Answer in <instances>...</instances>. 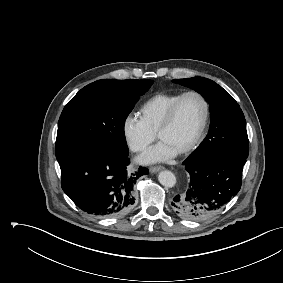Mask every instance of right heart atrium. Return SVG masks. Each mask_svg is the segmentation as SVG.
<instances>
[{
    "label": "right heart atrium",
    "instance_id": "1",
    "mask_svg": "<svg viewBox=\"0 0 283 283\" xmlns=\"http://www.w3.org/2000/svg\"><path fill=\"white\" fill-rule=\"evenodd\" d=\"M122 133L129 149L139 153L155 140L156 135L148 129L143 120L134 115L128 114L122 122Z\"/></svg>",
    "mask_w": 283,
    "mask_h": 283
}]
</instances>
